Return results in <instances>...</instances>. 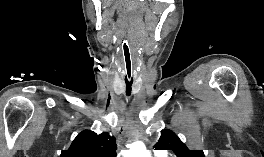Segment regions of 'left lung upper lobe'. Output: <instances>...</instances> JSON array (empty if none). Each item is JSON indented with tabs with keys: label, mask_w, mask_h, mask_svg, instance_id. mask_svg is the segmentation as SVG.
<instances>
[{
	"label": "left lung upper lobe",
	"mask_w": 264,
	"mask_h": 157,
	"mask_svg": "<svg viewBox=\"0 0 264 157\" xmlns=\"http://www.w3.org/2000/svg\"><path fill=\"white\" fill-rule=\"evenodd\" d=\"M158 150H172L177 157H205L202 150H190L177 135L165 129L161 131L159 141L154 145Z\"/></svg>",
	"instance_id": "1"
}]
</instances>
